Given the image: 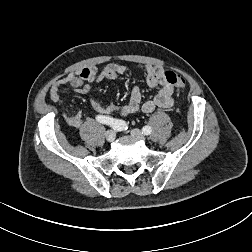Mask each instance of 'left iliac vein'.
<instances>
[{"instance_id":"4c4485c4","label":"left iliac vein","mask_w":252,"mask_h":252,"mask_svg":"<svg viewBox=\"0 0 252 252\" xmlns=\"http://www.w3.org/2000/svg\"><path fill=\"white\" fill-rule=\"evenodd\" d=\"M131 135L134 136V137H137V138H139L141 140H145L144 134L139 129H133L131 131Z\"/></svg>"}]
</instances>
